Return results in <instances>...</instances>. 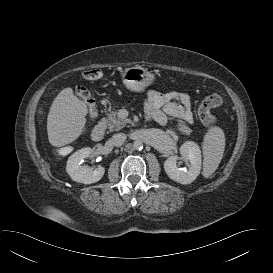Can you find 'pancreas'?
<instances>
[{"label":"pancreas","mask_w":273,"mask_h":273,"mask_svg":"<svg viewBox=\"0 0 273 273\" xmlns=\"http://www.w3.org/2000/svg\"><path fill=\"white\" fill-rule=\"evenodd\" d=\"M131 120L128 118H121L116 111H111L106 119V123L108 125V128L111 131H118L125 127L127 123H130ZM177 129L182 133L189 135L191 133V129L186 126L185 124L179 123L177 126ZM168 133L171 135H175V133L172 130H168Z\"/></svg>","instance_id":"1"}]
</instances>
